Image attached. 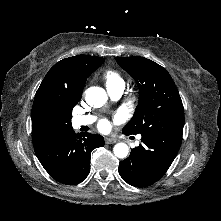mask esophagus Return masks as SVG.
<instances>
[{
  "mask_svg": "<svg viewBox=\"0 0 221 221\" xmlns=\"http://www.w3.org/2000/svg\"><path fill=\"white\" fill-rule=\"evenodd\" d=\"M116 142H117V140L114 139V138H110V137H106V138H105V143H106V144H114V143H116Z\"/></svg>",
  "mask_w": 221,
  "mask_h": 221,
  "instance_id": "esophagus-1",
  "label": "esophagus"
}]
</instances>
